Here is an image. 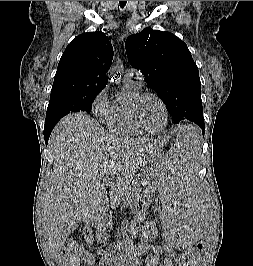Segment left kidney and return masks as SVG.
Listing matches in <instances>:
<instances>
[{
    "instance_id": "left-kidney-1",
    "label": "left kidney",
    "mask_w": 253,
    "mask_h": 266,
    "mask_svg": "<svg viewBox=\"0 0 253 266\" xmlns=\"http://www.w3.org/2000/svg\"><path fill=\"white\" fill-rule=\"evenodd\" d=\"M158 235V230L153 223H149L144 231L145 239L151 241Z\"/></svg>"
}]
</instances>
